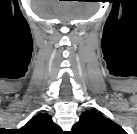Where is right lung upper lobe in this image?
Returning <instances> with one entry per match:
<instances>
[{
  "label": "right lung upper lobe",
  "mask_w": 137,
  "mask_h": 134,
  "mask_svg": "<svg viewBox=\"0 0 137 134\" xmlns=\"http://www.w3.org/2000/svg\"><path fill=\"white\" fill-rule=\"evenodd\" d=\"M22 134H59L61 128L47 113H39L31 118L20 130Z\"/></svg>",
  "instance_id": "cb5924a9"
}]
</instances>
